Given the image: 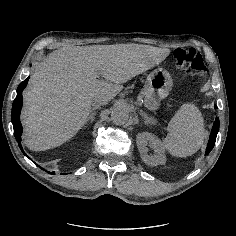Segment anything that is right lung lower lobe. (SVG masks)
<instances>
[{
  "label": "right lung lower lobe",
  "mask_w": 236,
  "mask_h": 236,
  "mask_svg": "<svg viewBox=\"0 0 236 236\" xmlns=\"http://www.w3.org/2000/svg\"><path fill=\"white\" fill-rule=\"evenodd\" d=\"M28 79H29V77L27 79H25L23 82H21L17 88V96L13 102L12 115H11V121H12L13 128H14V136L18 142V146L20 147V149L24 155H26V154H25V152L22 148V145H21V135H22L23 129H22V125L20 122V112H21V108H22V104H23L22 91L26 87V85L28 83ZM50 174H54V173H50Z\"/></svg>",
  "instance_id": "right-lung-lower-lobe-1"
}]
</instances>
